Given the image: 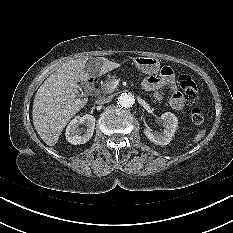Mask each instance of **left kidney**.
Instances as JSON below:
<instances>
[{
	"label": "left kidney",
	"instance_id": "left-kidney-1",
	"mask_svg": "<svg viewBox=\"0 0 233 233\" xmlns=\"http://www.w3.org/2000/svg\"><path fill=\"white\" fill-rule=\"evenodd\" d=\"M161 121L165 127L163 132L152 133L149 127H146L144 129V134L154 144L167 145L170 143L172 137L174 136L178 124V119L173 113L166 112L161 115Z\"/></svg>",
	"mask_w": 233,
	"mask_h": 233
}]
</instances>
